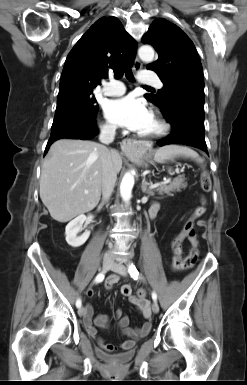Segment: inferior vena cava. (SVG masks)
Listing matches in <instances>:
<instances>
[{
	"label": "inferior vena cava",
	"instance_id": "602c4592",
	"mask_svg": "<svg viewBox=\"0 0 247 385\" xmlns=\"http://www.w3.org/2000/svg\"><path fill=\"white\" fill-rule=\"evenodd\" d=\"M116 126L105 125L101 128L99 140L102 144L108 145L114 141ZM103 146V145H102ZM105 153L102 155V200L108 201L115 187L117 173L114 169L111 155L108 149L103 146ZM112 248V246H110Z\"/></svg>",
	"mask_w": 247,
	"mask_h": 385
}]
</instances>
